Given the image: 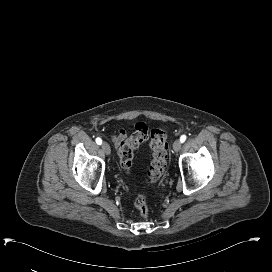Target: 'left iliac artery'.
Masks as SVG:
<instances>
[{
  "label": "left iliac artery",
  "instance_id": "obj_1",
  "mask_svg": "<svg viewBox=\"0 0 272 272\" xmlns=\"http://www.w3.org/2000/svg\"><path fill=\"white\" fill-rule=\"evenodd\" d=\"M185 140H186V135H182V136L180 137V141L183 143Z\"/></svg>",
  "mask_w": 272,
  "mask_h": 272
}]
</instances>
